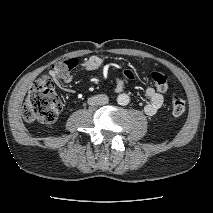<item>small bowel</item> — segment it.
I'll list each match as a JSON object with an SVG mask.
<instances>
[{"label": "small bowel", "instance_id": "obj_1", "mask_svg": "<svg viewBox=\"0 0 213 213\" xmlns=\"http://www.w3.org/2000/svg\"><path fill=\"white\" fill-rule=\"evenodd\" d=\"M78 61V60H77ZM77 65L80 66L83 70L86 71H98L101 70L105 73L109 72L113 65L109 62H105L101 57L99 56H90L89 58L83 60L81 63L77 62ZM50 75L56 79L59 83V85L67 92H73V90L66 86L67 83H69L73 79V75L71 73H67L64 76H56L53 71L50 72ZM125 78L127 80H132L135 78V73L133 71H127L125 72ZM125 89V81L123 79H117L116 80V91L120 92ZM145 95L148 97L149 101L144 106V112L148 116H154L159 109L162 107L164 102L163 95L154 89L153 87H147L145 89Z\"/></svg>", "mask_w": 213, "mask_h": 213}]
</instances>
